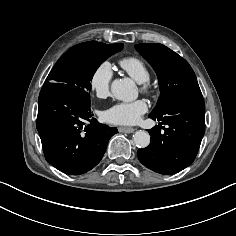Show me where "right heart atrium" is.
Listing matches in <instances>:
<instances>
[{
	"label": "right heart atrium",
	"instance_id": "1",
	"mask_svg": "<svg viewBox=\"0 0 236 236\" xmlns=\"http://www.w3.org/2000/svg\"><path fill=\"white\" fill-rule=\"evenodd\" d=\"M112 68L108 62H102L92 71L89 77V88L99 98L109 94L112 80Z\"/></svg>",
	"mask_w": 236,
	"mask_h": 236
}]
</instances>
